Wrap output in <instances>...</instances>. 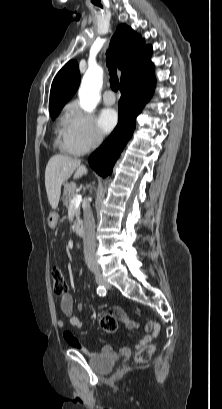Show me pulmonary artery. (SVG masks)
<instances>
[{
  "label": "pulmonary artery",
  "mask_w": 222,
  "mask_h": 409,
  "mask_svg": "<svg viewBox=\"0 0 222 409\" xmlns=\"http://www.w3.org/2000/svg\"><path fill=\"white\" fill-rule=\"evenodd\" d=\"M103 101L106 105H113L116 101L114 93L111 90L105 91Z\"/></svg>",
  "instance_id": "obj_1"
}]
</instances>
